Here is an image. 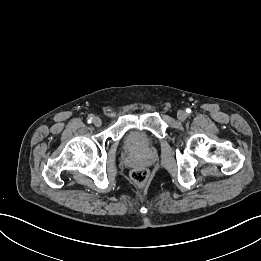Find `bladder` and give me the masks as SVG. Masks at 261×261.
<instances>
[{"label":"bladder","mask_w":261,"mask_h":261,"mask_svg":"<svg viewBox=\"0 0 261 261\" xmlns=\"http://www.w3.org/2000/svg\"><path fill=\"white\" fill-rule=\"evenodd\" d=\"M146 143V135L140 130H132L125 136L123 146L125 149L134 150L141 148Z\"/></svg>","instance_id":"1"}]
</instances>
